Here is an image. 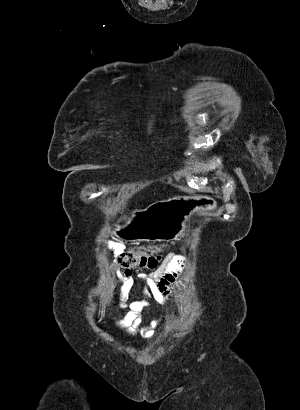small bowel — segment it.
Returning <instances> with one entry per match:
<instances>
[{
  "label": "small bowel",
  "mask_w": 300,
  "mask_h": 410,
  "mask_svg": "<svg viewBox=\"0 0 300 410\" xmlns=\"http://www.w3.org/2000/svg\"><path fill=\"white\" fill-rule=\"evenodd\" d=\"M188 257L179 254H169L163 263L150 274L141 276L146 286V293L151 295L156 301L166 303L169 299L173 286L182 289L184 284L179 281V277L185 268ZM123 282L120 295L119 306L129 309L127 318L117 319L111 322V326L122 330L124 337H134L140 335L143 340H150L156 335V328L160 320H155L149 326L141 327V314L147 307L146 301L128 302V290L134 285V280L130 277L118 274Z\"/></svg>",
  "instance_id": "obj_1"
}]
</instances>
